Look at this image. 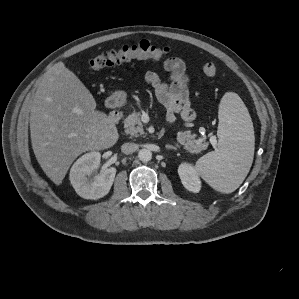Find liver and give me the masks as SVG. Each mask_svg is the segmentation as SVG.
<instances>
[{"mask_svg": "<svg viewBox=\"0 0 299 299\" xmlns=\"http://www.w3.org/2000/svg\"><path fill=\"white\" fill-rule=\"evenodd\" d=\"M30 133L35 157L56 185L77 156L110 148L119 137L114 121L96 110L93 95L63 62L46 72L36 90Z\"/></svg>", "mask_w": 299, "mask_h": 299, "instance_id": "1", "label": "liver"}]
</instances>
